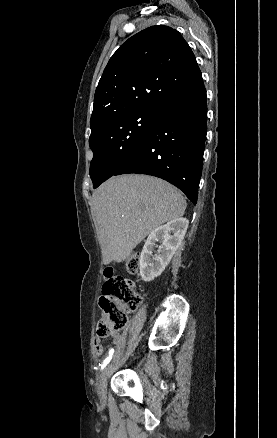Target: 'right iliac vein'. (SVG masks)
<instances>
[{"label": "right iliac vein", "mask_w": 277, "mask_h": 438, "mask_svg": "<svg viewBox=\"0 0 277 438\" xmlns=\"http://www.w3.org/2000/svg\"><path fill=\"white\" fill-rule=\"evenodd\" d=\"M112 366V363H110L105 369L102 371L100 375V382H99V393L102 398L106 395V386H107V378L109 375L110 368Z\"/></svg>", "instance_id": "63e3f726"}]
</instances>
